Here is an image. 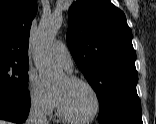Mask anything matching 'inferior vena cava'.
Returning <instances> with one entry per match:
<instances>
[{
	"label": "inferior vena cava",
	"mask_w": 156,
	"mask_h": 124,
	"mask_svg": "<svg viewBox=\"0 0 156 124\" xmlns=\"http://www.w3.org/2000/svg\"><path fill=\"white\" fill-rule=\"evenodd\" d=\"M26 124H48L44 109L39 102H32Z\"/></svg>",
	"instance_id": "602c4592"
}]
</instances>
